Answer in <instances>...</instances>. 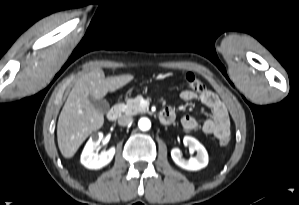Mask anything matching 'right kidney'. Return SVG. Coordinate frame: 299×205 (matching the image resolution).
<instances>
[{
  "instance_id": "1",
  "label": "right kidney",
  "mask_w": 299,
  "mask_h": 205,
  "mask_svg": "<svg viewBox=\"0 0 299 205\" xmlns=\"http://www.w3.org/2000/svg\"><path fill=\"white\" fill-rule=\"evenodd\" d=\"M102 138L103 134L101 132L93 135L82 151L81 163L88 169H100L109 164L114 157V147L99 154L94 152V148L100 144Z\"/></svg>"
}]
</instances>
